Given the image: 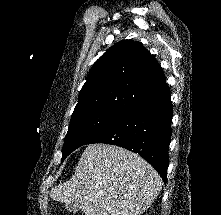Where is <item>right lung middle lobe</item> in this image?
<instances>
[{"mask_svg":"<svg viewBox=\"0 0 221 215\" xmlns=\"http://www.w3.org/2000/svg\"><path fill=\"white\" fill-rule=\"evenodd\" d=\"M120 115L104 111L73 113L63 146L62 161L75 149L87 142L115 122Z\"/></svg>","mask_w":221,"mask_h":215,"instance_id":"dd1d6c3e","label":"right lung middle lobe"}]
</instances>
